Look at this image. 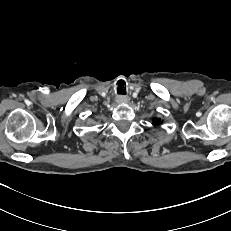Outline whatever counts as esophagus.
I'll use <instances>...</instances> for the list:
<instances>
[{"label":"esophagus","instance_id":"1","mask_svg":"<svg viewBox=\"0 0 231 231\" xmlns=\"http://www.w3.org/2000/svg\"><path fill=\"white\" fill-rule=\"evenodd\" d=\"M128 101H129V97L128 96L122 95V96L117 97V102L119 104H126Z\"/></svg>","mask_w":231,"mask_h":231}]
</instances>
